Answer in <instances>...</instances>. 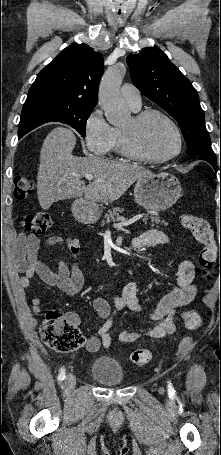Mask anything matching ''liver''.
I'll return each instance as SVG.
<instances>
[{
	"label": "liver",
	"instance_id": "6515ba94",
	"mask_svg": "<svg viewBox=\"0 0 221 455\" xmlns=\"http://www.w3.org/2000/svg\"><path fill=\"white\" fill-rule=\"evenodd\" d=\"M76 137L72 129L57 127L45 138L40 151L37 194L40 206L47 210L53 203L84 195L89 202H113L119 199L139 178L151 171L127 162L72 154ZM92 174L88 185L82 180ZM97 180H101L97 181Z\"/></svg>",
	"mask_w": 221,
	"mask_h": 455
}]
</instances>
